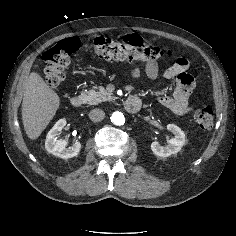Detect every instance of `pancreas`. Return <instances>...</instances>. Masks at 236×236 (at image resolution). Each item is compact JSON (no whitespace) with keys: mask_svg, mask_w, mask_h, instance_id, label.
<instances>
[{"mask_svg":"<svg viewBox=\"0 0 236 236\" xmlns=\"http://www.w3.org/2000/svg\"><path fill=\"white\" fill-rule=\"evenodd\" d=\"M81 97L83 98L84 102L88 103L89 105H96L101 102L113 99L111 94L102 86L93 87L89 91L83 92Z\"/></svg>","mask_w":236,"mask_h":236,"instance_id":"1","label":"pancreas"}]
</instances>
